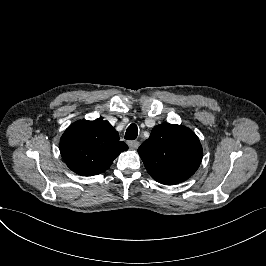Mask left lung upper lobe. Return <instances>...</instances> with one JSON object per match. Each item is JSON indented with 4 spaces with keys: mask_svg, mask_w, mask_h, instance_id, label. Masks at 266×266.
<instances>
[{
    "mask_svg": "<svg viewBox=\"0 0 266 266\" xmlns=\"http://www.w3.org/2000/svg\"><path fill=\"white\" fill-rule=\"evenodd\" d=\"M151 177L165 185L187 180L198 169L203 156L195 133L176 124H160L138 148Z\"/></svg>",
    "mask_w": 266,
    "mask_h": 266,
    "instance_id": "obj_1",
    "label": "left lung upper lobe"
}]
</instances>
